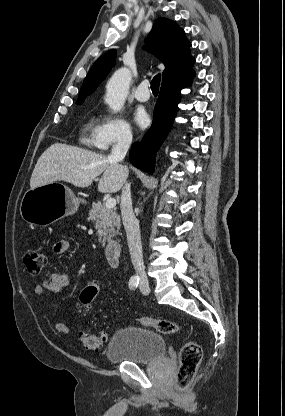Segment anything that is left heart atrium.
Instances as JSON below:
<instances>
[{
	"instance_id": "1",
	"label": "left heart atrium",
	"mask_w": 285,
	"mask_h": 416,
	"mask_svg": "<svg viewBox=\"0 0 285 416\" xmlns=\"http://www.w3.org/2000/svg\"><path fill=\"white\" fill-rule=\"evenodd\" d=\"M134 121L139 127H145L148 122L147 113L143 109L138 108L134 112Z\"/></svg>"
}]
</instances>
